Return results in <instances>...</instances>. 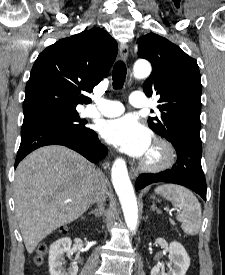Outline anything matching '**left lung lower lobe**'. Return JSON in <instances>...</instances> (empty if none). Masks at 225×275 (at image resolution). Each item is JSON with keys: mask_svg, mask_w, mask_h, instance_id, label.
<instances>
[{"mask_svg": "<svg viewBox=\"0 0 225 275\" xmlns=\"http://www.w3.org/2000/svg\"><path fill=\"white\" fill-rule=\"evenodd\" d=\"M172 144L177 152L176 164L164 172L141 174L135 183L136 190L156 182L175 183L192 189L206 200V182L201 167V141L186 139Z\"/></svg>", "mask_w": 225, "mask_h": 275, "instance_id": "obj_1", "label": "left lung lower lobe"}]
</instances>
